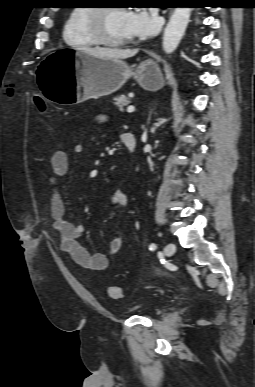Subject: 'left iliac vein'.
Here are the masks:
<instances>
[{
    "instance_id": "1",
    "label": "left iliac vein",
    "mask_w": 255,
    "mask_h": 387,
    "mask_svg": "<svg viewBox=\"0 0 255 387\" xmlns=\"http://www.w3.org/2000/svg\"><path fill=\"white\" fill-rule=\"evenodd\" d=\"M176 250V246L173 243H168L164 248V255L165 256H172Z\"/></svg>"
}]
</instances>
